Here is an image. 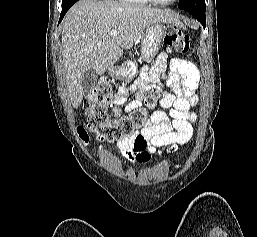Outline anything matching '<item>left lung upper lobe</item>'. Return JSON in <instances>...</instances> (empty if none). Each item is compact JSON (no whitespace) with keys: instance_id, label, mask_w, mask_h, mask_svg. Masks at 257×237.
<instances>
[{"instance_id":"1","label":"left lung upper lobe","mask_w":257,"mask_h":237,"mask_svg":"<svg viewBox=\"0 0 257 237\" xmlns=\"http://www.w3.org/2000/svg\"><path fill=\"white\" fill-rule=\"evenodd\" d=\"M178 7L184 10L205 11V0H179Z\"/></svg>"}]
</instances>
